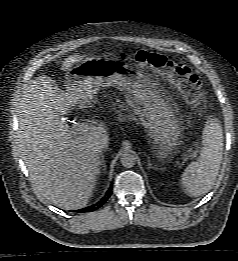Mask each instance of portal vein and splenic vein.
Here are the masks:
<instances>
[{"instance_id":"portal-vein-and-splenic-vein-1","label":"portal vein and splenic vein","mask_w":238,"mask_h":261,"mask_svg":"<svg viewBox=\"0 0 238 261\" xmlns=\"http://www.w3.org/2000/svg\"><path fill=\"white\" fill-rule=\"evenodd\" d=\"M92 129H93V125L86 123V122L77 123L74 127L75 132L78 134L87 133V132L91 131ZM193 157H196V155L194 154Z\"/></svg>"}]
</instances>
